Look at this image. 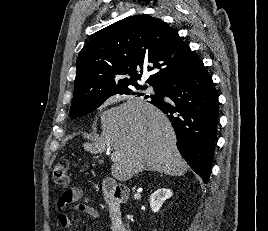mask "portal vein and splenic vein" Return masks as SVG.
I'll use <instances>...</instances> for the list:
<instances>
[{
    "mask_svg": "<svg viewBox=\"0 0 268 231\" xmlns=\"http://www.w3.org/2000/svg\"><path fill=\"white\" fill-rule=\"evenodd\" d=\"M112 155H114V156H111V160H112L113 162L119 160V157L115 156V154H112Z\"/></svg>",
    "mask_w": 268,
    "mask_h": 231,
    "instance_id": "portal-vein-and-splenic-vein-1",
    "label": "portal vein and splenic vein"
}]
</instances>
